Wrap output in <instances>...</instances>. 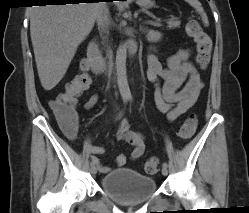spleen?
I'll list each match as a JSON object with an SVG mask.
<instances>
[{"label": "spleen", "mask_w": 249, "mask_h": 213, "mask_svg": "<svg viewBox=\"0 0 249 213\" xmlns=\"http://www.w3.org/2000/svg\"><path fill=\"white\" fill-rule=\"evenodd\" d=\"M185 1L195 8V10L201 15L203 23L206 26H208V18L206 16V13L204 12V9L201 6V3L198 0H185Z\"/></svg>", "instance_id": "1"}]
</instances>
